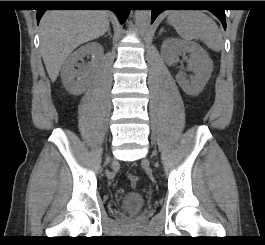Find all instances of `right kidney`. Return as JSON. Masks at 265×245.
<instances>
[{"label":"right kidney","mask_w":265,"mask_h":245,"mask_svg":"<svg viewBox=\"0 0 265 245\" xmlns=\"http://www.w3.org/2000/svg\"><path fill=\"white\" fill-rule=\"evenodd\" d=\"M103 54V46L98 42H90L70 54L61 69L62 82L69 93L80 95L86 90L89 78L100 67ZM89 55H91V61L81 68L75 69L77 62Z\"/></svg>","instance_id":"obj_1"}]
</instances>
